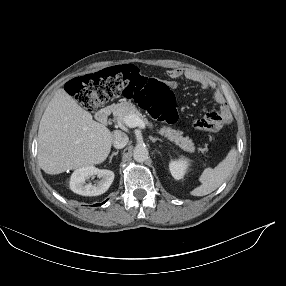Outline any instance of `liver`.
I'll list each match as a JSON object with an SVG mask.
<instances>
[{"mask_svg": "<svg viewBox=\"0 0 286 286\" xmlns=\"http://www.w3.org/2000/svg\"><path fill=\"white\" fill-rule=\"evenodd\" d=\"M113 134L81 108L62 88L58 89L41 118L38 162L47 174H59L100 164L108 157Z\"/></svg>", "mask_w": 286, "mask_h": 286, "instance_id": "1", "label": "liver"}]
</instances>
